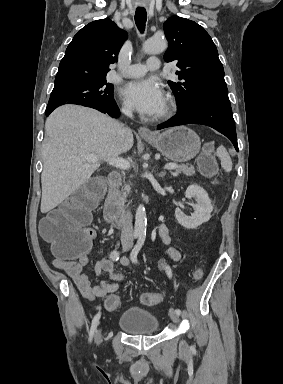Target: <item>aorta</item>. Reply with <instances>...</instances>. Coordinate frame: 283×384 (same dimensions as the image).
Masks as SVG:
<instances>
[{
    "label": "aorta",
    "mask_w": 283,
    "mask_h": 384,
    "mask_svg": "<svg viewBox=\"0 0 283 384\" xmlns=\"http://www.w3.org/2000/svg\"><path fill=\"white\" fill-rule=\"evenodd\" d=\"M166 48V40L157 37L148 39L143 45L144 52L148 54H159L164 52ZM146 225V210L144 205L140 204L136 210L135 215L134 235L136 237H144L146 234Z\"/></svg>",
    "instance_id": "obj_1"
}]
</instances>
